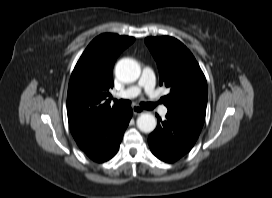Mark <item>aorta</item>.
<instances>
[{"label":"aorta","mask_w":272,"mask_h":198,"mask_svg":"<svg viewBox=\"0 0 272 198\" xmlns=\"http://www.w3.org/2000/svg\"><path fill=\"white\" fill-rule=\"evenodd\" d=\"M141 73L139 64L130 58L121 59L115 66L116 77L125 82L131 83L136 81ZM156 119L150 113H143L137 119V127L144 133H150L156 128Z\"/></svg>","instance_id":"obj_1"}]
</instances>
